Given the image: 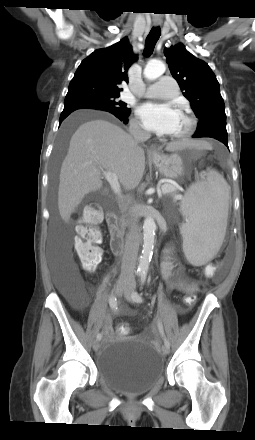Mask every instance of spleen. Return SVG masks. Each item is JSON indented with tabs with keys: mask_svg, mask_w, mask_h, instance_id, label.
Returning a JSON list of instances; mask_svg holds the SVG:
<instances>
[{
	"mask_svg": "<svg viewBox=\"0 0 255 440\" xmlns=\"http://www.w3.org/2000/svg\"><path fill=\"white\" fill-rule=\"evenodd\" d=\"M229 190L227 183L212 171L207 180L191 185L181 202L188 218L182 224L183 250L193 265L210 261L220 249L227 227Z\"/></svg>",
	"mask_w": 255,
	"mask_h": 440,
	"instance_id": "obj_1",
	"label": "spleen"
}]
</instances>
